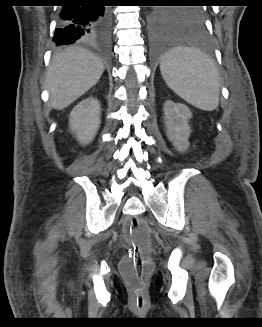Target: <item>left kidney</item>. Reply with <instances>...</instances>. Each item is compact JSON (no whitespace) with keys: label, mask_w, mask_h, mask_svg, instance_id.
I'll return each mask as SVG.
<instances>
[{"label":"left kidney","mask_w":262,"mask_h":327,"mask_svg":"<svg viewBox=\"0 0 262 327\" xmlns=\"http://www.w3.org/2000/svg\"><path fill=\"white\" fill-rule=\"evenodd\" d=\"M164 112L168 139L179 152H184L189 145L188 137L191 130L188 120L192 113L186 105L172 101L165 102Z\"/></svg>","instance_id":"1"}]
</instances>
